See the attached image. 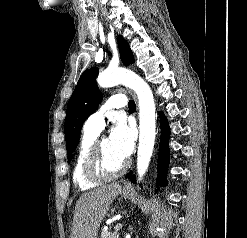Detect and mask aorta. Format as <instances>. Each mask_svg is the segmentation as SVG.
Segmentation results:
<instances>
[{"mask_svg": "<svg viewBox=\"0 0 247 238\" xmlns=\"http://www.w3.org/2000/svg\"><path fill=\"white\" fill-rule=\"evenodd\" d=\"M97 82L103 88L122 83L132 88L138 96L140 135L137 154V172L139 179H142L150 163L156 135L155 103L152 91L140 76L122 68L105 70L98 76Z\"/></svg>", "mask_w": 247, "mask_h": 238, "instance_id": "762f6f07", "label": "aorta"}]
</instances>
